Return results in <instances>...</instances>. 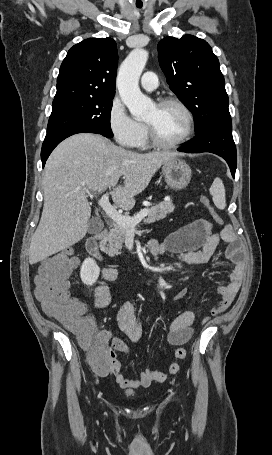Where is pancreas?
I'll use <instances>...</instances> for the list:
<instances>
[{
    "mask_svg": "<svg viewBox=\"0 0 272 455\" xmlns=\"http://www.w3.org/2000/svg\"><path fill=\"white\" fill-rule=\"evenodd\" d=\"M174 205L171 201L160 202L159 204L146 208L148 214L144 219L145 223H154L161 219H164L167 214L173 212ZM141 210V211H143ZM140 212L134 214L133 218L136 217ZM127 230L122 226L114 223L109 234L106 237V242H108L107 247L104 248V252L110 257L121 254L120 250L122 249V244L125 241Z\"/></svg>",
    "mask_w": 272,
    "mask_h": 455,
    "instance_id": "pancreas-1",
    "label": "pancreas"
}]
</instances>
